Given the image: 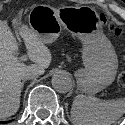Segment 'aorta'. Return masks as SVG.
<instances>
[{
  "instance_id": "aorta-1",
  "label": "aorta",
  "mask_w": 125,
  "mask_h": 125,
  "mask_svg": "<svg viewBox=\"0 0 125 125\" xmlns=\"http://www.w3.org/2000/svg\"><path fill=\"white\" fill-rule=\"evenodd\" d=\"M53 88L59 93H67L72 88V79L66 72H57L51 79Z\"/></svg>"
}]
</instances>
